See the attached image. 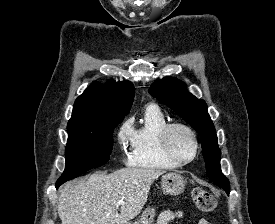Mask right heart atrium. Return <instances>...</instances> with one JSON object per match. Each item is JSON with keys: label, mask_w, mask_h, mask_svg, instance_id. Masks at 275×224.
<instances>
[{"label": "right heart atrium", "mask_w": 275, "mask_h": 224, "mask_svg": "<svg viewBox=\"0 0 275 224\" xmlns=\"http://www.w3.org/2000/svg\"><path fill=\"white\" fill-rule=\"evenodd\" d=\"M131 135V125L129 123H124L117 133V140L122 149H126L127 146L130 144Z\"/></svg>", "instance_id": "d8ad5b80"}]
</instances>
